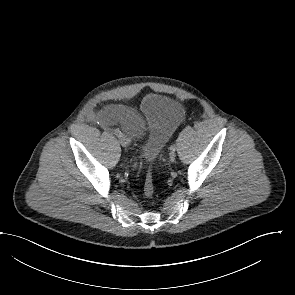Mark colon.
<instances>
[{
	"instance_id": "colon-1",
	"label": "colon",
	"mask_w": 295,
	"mask_h": 295,
	"mask_svg": "<svg viewBox=\"0 0 295 295\" xmlns=\"http://www.w3.org/2000/svg\"><path fill=\"white\" fill-rule=\"evenodd\" d=\"M144 195L147 197H152L155 191L153 177L151 172H148L145 178L144 187H143Z\"/></svg>"
}]
</instances>
